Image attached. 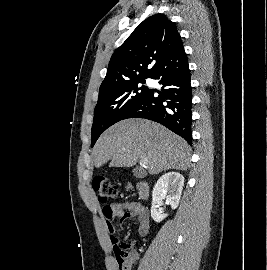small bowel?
Listing matches in <instances>:
<instances>
[{
	"instance_id": "c3829d8e",
	"label": "small bowel",
	"mask_w": 267,
	"mask_h": 270,
	"mask_svg": "<svg viewBox=\"0 0 267 270\" xmlns=\"http://www.w3.org/2000/svg\"><path fill=\"white\" fill-rule=\"evenodd\" d=\"M103 216L112 244H114L116 231L114 226L115 220H119L121 223H123L127 219L135 218L138 222V234L145 237L149 232L150 223L147 210L136 201L126 200L114 202L103 208Z\"/></svg>"
}]
</instances>
